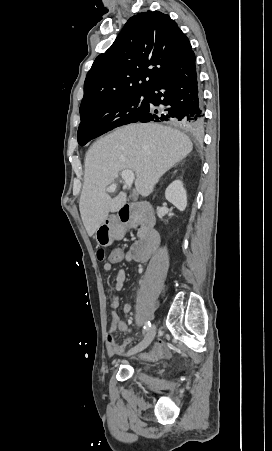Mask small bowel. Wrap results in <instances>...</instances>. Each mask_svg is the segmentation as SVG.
I'll list each match as a JSON object with an SVG mask.
<instances>
[{
  "label": "small bowel",
  "instance_id": "c3829d8e",
  "mask_svg": "<svg viewBox=\"0 0 272 451\" xmlns=\"http://www.w3.org/2000/svg\"><path fill=\"white\" fill-rule=\"evenodd\" d=\"M113 263L114 262H111V261H107L104 263V265H103L104 273L108 274L112 270ZM125 280H126V272L124 269H120L115 278L114 292L111 295L109 307H110L111 316H112L111 331L112 332L119 331V332H122L125 334H129L130 329H129L127 323L124 322L123 320H121L119 317V314H118V308H119L120 299H121L120 291L124 287ZM123 310L126 313L131 312L132 305L130 303L124 304ZM132 340H133V338L128 336L126 339H124L122 341V344L117 345L116 347L108 346L107 352H108L109 357H113L116 355H119V356L123 355L125 346L130 344L132 342ZM171 355H172L171 348H170L168 342L165 339L161 338L158 340L156 345L149 352L141 353L140 357L143 359H146V360L157 361L160 359H168L171 357ZM165 356H167V357H165Z\"/></svg>",
  "mask_w": 272,
  "mask_h": 451
}]
</instances>
